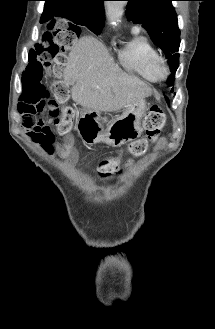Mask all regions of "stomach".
<instances>
[{
    "instance_id": "stomach-1",
    "label": "stomach",
    "mask_w": 215,
    "mask_h": 329,
    "mask_svg": "<svg viewBox=\"0 0 215 329\" xmlns=\"http://www.w3.org/2000/svg\"><path fill=\"white\" fill-rule=\"evenodd\" d=\"M146 111L144 99H139L126 106L122 115L113 119L107 128L101 132H96V137L91 143L104 142L113 147H120L141 136V119ZM83 116L92 115L97 117L94 110L84 108L81 111Z\"/></svg>"
}]
</instances>
